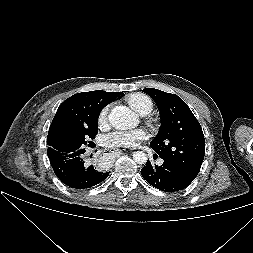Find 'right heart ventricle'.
<instances>
[{
  "label": "right heart ventricle",
  "instance_id": "1",
  "mask_svg": "<svg viewBox=\"0 0 253 253\" xmlns=\"http://www.w3.org/2000/svg\"><path fill=\"white\" fill-rule=\"evenodd\" d=\"M128 104L140 114H147L153 108L152 100L145 94L133 93L127 96Z\"/></svg>",
  "mask_w": 253,
  "mask_h": 253
}]
</instances>
